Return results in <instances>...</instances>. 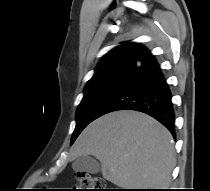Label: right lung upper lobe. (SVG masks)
I'll return each instance as SVG.
<instances>
[{
  "label": "right lung upper lobe",
  "instance_id": "cb5924a9",
  "mask_svg": "<svg viewBox=\"0 0 210 191\" xmlns=\"http://www.w3.org/2000/svg\"><path fill=\"white\" fill-rule=\"evenodd\" d=\"M141 47L138 43H124L123 45H120L114 49H112L110 52H108L100 61L99 65H102L103 63L116 58L118 56H130L132 57L138 49Z\"/></svg>",
  "mask_w": 210,
  "mask_h": 191
}]
</instances>
